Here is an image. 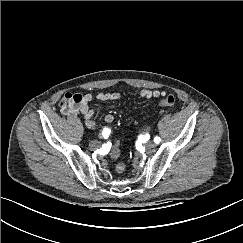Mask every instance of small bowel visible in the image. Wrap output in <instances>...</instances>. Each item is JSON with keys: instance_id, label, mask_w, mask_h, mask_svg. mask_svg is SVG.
Masks as SVG:
<instances>
[{"instance_id": "small-bowel-1", "label": "small bowel", "mask_w": 243, "mask_h": 243, "mask_svg": "<svg viewBox=\"0 0 243 243\" xmlns=\"http://www.w3.org/2000/svg\"><path fill=\"white\" fill-rule=\"evenodd\" d=\"M164 95V92L161 90H148L144 89L139 92V96L145 99L158 98ZM121 97L119 92H100L97 94V100L101 102H111L118 100ZM92 100L91 94L84 95V99L78 110L72 114L81 113L83 115L85 124L88 128H94L95 122L93 117L99 115V110L90 108L89 104ZM115 117L113 114L108 113L105 115L104 120L106 123L111 124L114 121ZM110 132L109 129H104L102 131V137L108 138Z\"/></svg>"}]
</instances>
